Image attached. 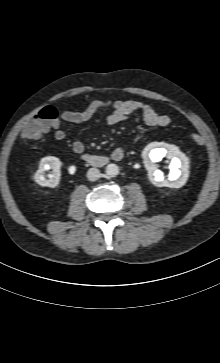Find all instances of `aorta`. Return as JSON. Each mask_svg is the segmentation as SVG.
Wrapping results in <instances>:
<instances>
[{
    "instance_id": "762f6f07",
    "label": "aorta",
    "mask_w": 220,
    "mask_h": 363,
    "mask_svg": "<svg viewBox=\"0 0 220 363\" xmlns=\"http://www.w3.org/2000/svg\"><path fill=\"white\" fill-rule=\"evenodd\" d=\"M105 172L108 176L114 177L119 174V167L114 163L108 164L105 168Z\"/></svg>"
}]
</instances>
